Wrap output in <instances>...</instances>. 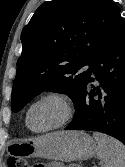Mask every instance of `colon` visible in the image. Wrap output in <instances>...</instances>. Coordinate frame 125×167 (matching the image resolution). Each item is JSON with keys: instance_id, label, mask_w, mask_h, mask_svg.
<instances>
[{"instance_id": "colon-1", "label": "colon", "mask_w": 125, "mask_h": 167, "mask_svg": "<svg viewBox=\"0 0 125 167\" xmlns=\"http://www.w3.org/2000/svg\"><path fill=\"white\" fill-rule=\"evenodd\" d=\"M7 165L8 167H29L27 161L18 156L10 157L8 159ZM32 167H38V165H34Z\"/></svg>"}]
</instances>
